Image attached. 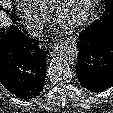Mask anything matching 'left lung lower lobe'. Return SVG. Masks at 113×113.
<instances>
[{"label":"left lung lower lobe","instance_id":"left-lung-lower-lobe-1","mask_svg":"<svg viewBox=\"0 0 113 113\" xmlns=\"http://www.w3.org/2000/svg\"><path fill=\"white\" fill-rule=\"evenodd\" d=\"M76 75L88 90L101 92L113 85V20L90 24L79 34Z\"/></svg>","mask_w":113,"mask_h":113}]
</instances>
